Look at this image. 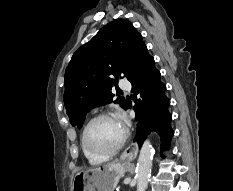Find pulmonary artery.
Masks as SVG:
<instances>
[{"label":"pulmonary artery","instance_id":"1","mask_svg":"<svg viewBox=\"0 0 233 191\" xmlns=\"http://www.w3.org/2000/svg\"><path fill=\"white\" fill-rule=\"evenodd\" d=\"M119 85H120V87H121L122 89H125V90H129V89L131 88L130 83H129L127 80H125V79H122V80L120 81Z\"/></svg>","mask_w":233,"mask_h":191}]
</instances>
